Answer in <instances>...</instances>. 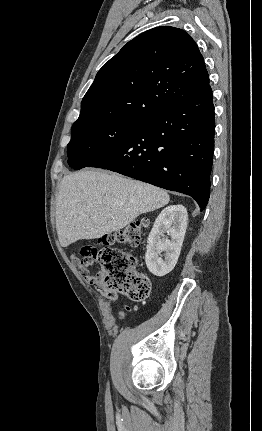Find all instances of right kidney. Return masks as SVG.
I'll return each mask as SVG.
<instances>
[{"label":"right kidney","mask_w":262,"mask_h":431,"mask_svg":"<svg viewBox=\"0 0 262 431\" xmlns=\"http://www.w3.org/2000/svg\"><path fill=\"white\" fill-rule=\"evenodd\" d=\"M187 210L183 205H171L162 210L156 218L147 239L145 262L155 276L171 272L180 255L187 228ZM165 233L171 237L169 240ZM165 251L164 259L160 257Z\"/></svg>","instance_id":"obj_1"}]
</instances>
